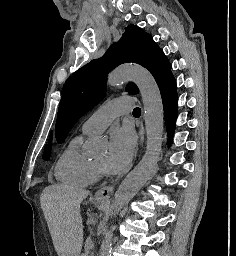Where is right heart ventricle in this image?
Wrapping results in <instances>:
<instances>
[{
	"label": "right heart ventricle",
	"mask_w": 236,
	"mask_h": 256,
	"mask_svg": "<svg viewBox=\"0 0 236 256\" xmlns=\"http://www.w3.org/2000/svg\"><path fill=\"white\" fill-rule=\"evenodd\" d=\"M81 137H75L59 157L55 166L58 182L87 188L94 182L95 165L79 152Z\"/></svg>",
	"instance_id": "e07e8e85"
}]
</instances>
